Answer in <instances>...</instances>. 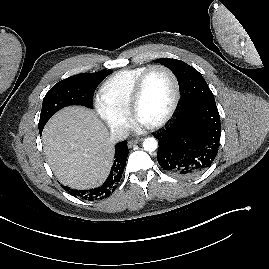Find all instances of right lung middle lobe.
Listing matches in <instances>:
<instances>
[{"mask_svg":"<svg viewBox=\"0 0 269 269\" xmlns=\"http://www.w3.org/2000/svg\"><path fill=\"white\" fill-rule=\"evenodd\" d=\"M111 73L105 70L89 74H79L56 83L45 95L39 120V131L58 110L69 105L93 108L96 87Z\"/></svg>","mask_w":269,"mask_h":269,"instance_id":"obj_1","label":"right lung middle lobe"}]
</instances>
